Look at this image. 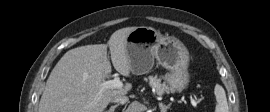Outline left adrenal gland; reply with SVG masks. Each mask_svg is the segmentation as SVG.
Wrapping results in <instances>:
<instances>
[{
  "label": "left adrenal gland",
  "mask_w": 270,
  "mask_h": 112,
  "mask_svg": "<svg viewBox=\"0 0 270 112\" xmlns=\"http://www.w3.org/2000/svg\"><path fill=\"white\" fill-rule=\"evenodd\" d=\"M159 107L161 109V112H167L168 109H170V105H163L162 103H159Z\"/></svg>",
  "instance_id": "1"
}]
</instances>
